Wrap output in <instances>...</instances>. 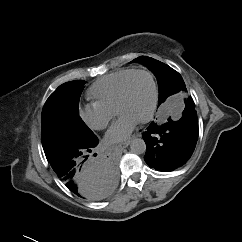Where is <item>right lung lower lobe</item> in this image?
<instances>
[{
  "label": "right lung lower lobe",
  "instance_id": "98d812e1",
  "mask_svg": "<svg viewBox=\"0 0 242 242\" xmlns=\"http://www.w3.org/2000/svg\"><path fill=\"white\" fill-rule=\"evenodd\" d=\"M98 144L93 141L59 151L47 158L57 176L74 194L100 200L112 193L117 185V170L109 159H90L88 153Z\"/></svg>",
  "mask_w": 242,
  "mask_h": 242
}]
</instances>
